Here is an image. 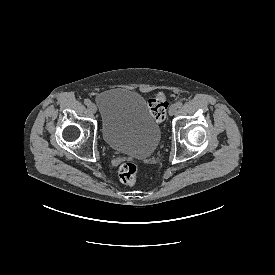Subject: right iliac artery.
I'll return each instance as SVG.
<instances>
[{
  "label": "right iliac artery",
  "instance_id": "right-iliac-artery-1",
  "mask_svg": "<svg viewBox=\"0 0 275 275\" xmlns=\"http://www.w3.org/2000/svg\"><path fill=\"white\" fill-rule=\"evenodd\" d=\"M84 103H85L87 106H90V105L92 104V101H91L90 99L86 98V99L84 100Z\"/></svg>",
  "mask_w": 275,
  "mask_h": 275
}]
</instances>
